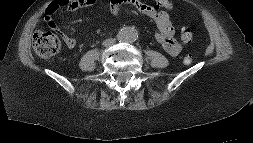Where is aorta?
<instances>
[{"instance_id":"762f6f07","label":"aorta","mask_w":253,"mask_h":143,"mask_svg":"<svg viewBox=\"0 0 253 143\" xmlns=\"http://www.w3.org/2000/svg\"><path fill=\"white\" fill-rule=\"evenodd\" d=\"M117 38L120 42L132 43L137 40L138 32L134 27H124L118 32Z\"/></svg>"}]
</instances>
